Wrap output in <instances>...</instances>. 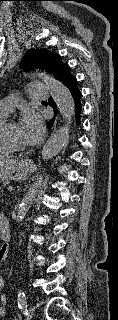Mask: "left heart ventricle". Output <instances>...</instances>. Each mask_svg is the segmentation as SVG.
I'll use <instances>...</instances> for the list:
<instances>
[{
	"mask_svg": "<svg viewBox=\"0 0 118 320\" xmlns=\"http://www.w3.org/2000/svg\"><path fill=\"white\" fill-rule=\"evenodd\" d=\"M6 136L15 144L20 145V146H25V143L23 142L20 131H19V126L16 123H9L6 126Z\"/></svg>",
	"mask_w": 118,
	"mask_h": 320,
	"instance_id": "b2bd125f",
	"label": "left heart ventricle"
}]
</instances>
